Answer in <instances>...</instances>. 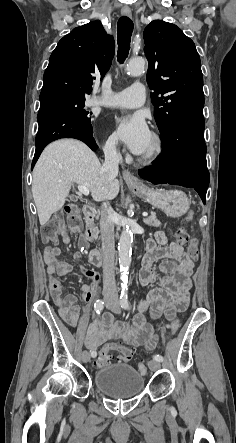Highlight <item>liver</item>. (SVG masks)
I'll return each mask as SVG.
<instances>
[{"mask_svg":"<svg viewBox=\"0 0 236 443\" xmlns=\"http://www.w3.org/2000/svg\"><path fill=\"white\" fill-rule=\"evenodd\" d=\"M101 167L96 154L83 142L61 139L49 144L33 170L32 194L40 225L63 207L74 183L87 187L95 201L114 199L119 181L106 182Z\"/></svg>","mask_w":236,"mask_h":443,"instance_id":"obj_1","label":"liver"}]
</instances>
